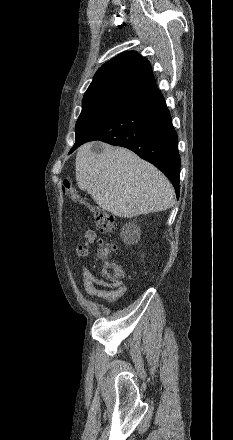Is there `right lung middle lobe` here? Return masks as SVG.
<instances>
[{"label":"right lung middle lobe","instance_id":"dd1d6c3e","mask_svg":"<svg viewBox=\"0 0 233 440\" xmlns=\"http://www.w3.org/2000/svg\"><path fill=\"white\" fill-rule=\"evenodd\" d=\"M125 104L126 103L123 102L107 100L82 102V112L75 127V144L103 125L108 119L121 110Z\"/></svg>","mask_w":233,"mask_h":440}]
</instances>
